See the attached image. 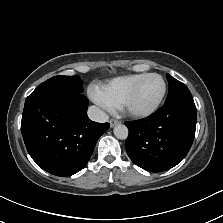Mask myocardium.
Wrapping results in <instances>:
<instances>
[{"mask_svg":"<svg viewBox=\"0 0 223 223\" xmlns=\"http://www.w3.org/2000/svg\"><path fill=\"white\" fill-rule=\"evenodd\" d=\"M149 76H157L162 81V91H161V94H160L159 98L157 99L155 104L151 108H149L148 110L136 111V110L131 109L130 108V103H131L132 99L134 98L140 84L143 82V80L145 78H147ZM165 94H166V82L160 74H158V73L144 74L136 82V84L133 86V88L126 94V96L122 100L121 105L118 108L117 115L120 116V117H129V118H136V119H144V118L150 117L151 115L156 113V111L159 109Z\"/></svg>","mask_w":223,"mask_h":223,"instance_id":"myocardium-1","label":"myocardium"}]
</instances>
